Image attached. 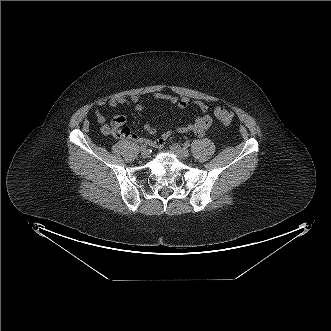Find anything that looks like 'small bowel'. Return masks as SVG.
Returning a JSON list of instances; mask_svg holds the SVG:
<instances>
[{"label":"small bowel","instance_id":"c3829d8e","mask_svg":"<svg viewBox=\"0 0 331 331\" xmlns=\"http://www.w3.org/2000/svg\"><path fill=\"white\" fill-rule=\"evenodd\" d=\"M153 98L158 101H165L168 104L175 106L179 109H184L192 103L197 107L200 112L205 114L203 116L197 117L193 123L182 126H175L174 128L167 130L166 132L162 133L160 137L156 139L153 143H150L149 141L143 139L141 136L131 132V130L125 126L126 117L124 115H114L111 121L108 123L106 116L101 111V108L105 106L115 108L118 106L133 104L136 111L142 112L146 109V106L142 102L141 95H133L130 97V99L124 97L100 99L97 102L98 110L96 112V117L97 122L101 126L102 132L105 135L113 136L115 138L127 139L137 143H147L153 145L156 148H160L174 133H193L197 136H203L212 125V117L207 114L208 107L202 101H192L188 97L178 98L174 95H169L162 92L156 93ZM143 128L144 131L150 135L156 134V129L150 124H145Z\"/></svg>","mask_w":331,"mask_h":331}]
</instances>
